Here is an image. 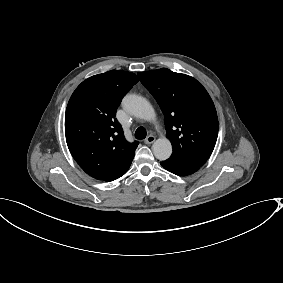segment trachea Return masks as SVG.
Returning <instances> with one entry per match:
<instances>
[{"mask_svg": "<svg viewBox=\"0 0 283 283\" xmlns=\"http://www.w3.org/2000/svg\"><path fill=\"white\" fill-rule=\"evenodd\" d=\"M147 135L146 129L142 126L138 127L135 131V138L136 139H144Z\"/></svg>", "mask_w": 283, "mask_h": 283, "instance_id": "1", "label": "trachea"}]
</instances>
